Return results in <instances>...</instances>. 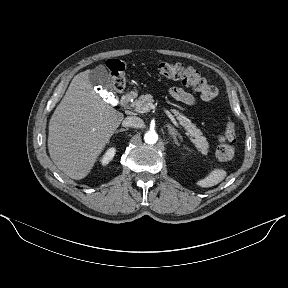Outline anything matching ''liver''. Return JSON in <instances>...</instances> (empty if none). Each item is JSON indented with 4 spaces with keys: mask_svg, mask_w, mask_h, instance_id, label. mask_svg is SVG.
Wrapping results in <instances>:
<instances>
[{
    "mask_svg": "<svg viewBox=\"0 0 288 288\" xmlns=\"http://www.w3.org/2000/svg\"><path fill=\"white\" fill-rule=\"evenodd\" d=\"M89 72H81L72 79L48 128V150L52 161L76 180L90 173L124 119L123 113L94 91Z\"/></svg>",
    "mask_w": 288,
    "mask_h": 288,
    "instance_id": "6515ba94",
    "label": "liver"
}]
</instances>
